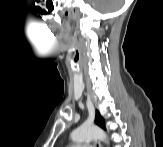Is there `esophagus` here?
Wrapping results in <instances>:
<instances>
[{
	"mask_svg": "<svg viewBox=\"0 0 163 147\" xmlns=\"http://www.w3.org/2000/svg\"><path fill=\"white\" fill-rule=\"evenodd\" d=\"M94 147H101L100 142H99V141H95V142H94Z\"/></svg>",
	"mask_w": 163,
	"mask_h": 147,
	"instance_id": "34e87169",
	"label": "esophagus"
}]
</instances>
